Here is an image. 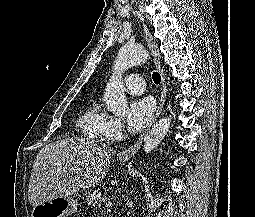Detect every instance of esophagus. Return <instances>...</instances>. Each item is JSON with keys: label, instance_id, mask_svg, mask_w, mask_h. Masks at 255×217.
Returning a JSON list of instances; mask_svg holds the SVG:
<instances>
[{"label": "esophagus", "instance_id": "34e87169", "mask_svg": "<svg viewBox=\"0 0 255 217\" xmlns=\"http://www.w3.org/2000/svg\"><path fill=\"white\" fill-rule=\"evenodd\" d=\"M143 31H144V35L145 38L148 42V46L151 52V56L153 58L154 64L157 67V69L159 70V72L161 73L162 76V88H161V96H160V100L158 103V107L156 110V113L150 123V126L157 120V118L159 117V115L162 112L165 100H166V95H167V86H166V80H165V76H164V72L161 68V62H160V52L158 49V45L155 41V39L153 38L150 30L148 29V27L146 25H143ZM142 140H143V136H141V138L131 147L123 150L122 152H120L118 154L119 158L121 159H129L132 156H134L138 150L140 149L141 145H142Z\"/></svg>", "mask_w": 255, "mask_h": 217}]
</instances>
